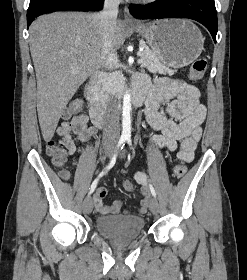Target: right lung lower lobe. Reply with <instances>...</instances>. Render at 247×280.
<instances>
[{
    "label": "right lung lower lobe",
    "instance_id": "1",
    "mask_svg": "<svg viewBox=\"0 0 247 280\" xmlns=\"http://www.w3.org/2000/svg\"><path fill=\"white\" fill-rule=\"evenodd\" d=\"M104 0H33L27 11V26L35 17L55 11L62 10H99Z\"/></svg>",
    "mask_w": 247,
    "mask_h": 280
}]
</instances>
